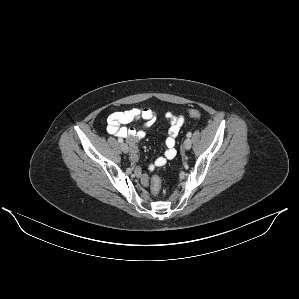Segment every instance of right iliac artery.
Returning a JSON list of instances; mask_svg holds the SVG:
<instances>
[{
	"mask_svg": "<svg viewBox=\"0 0 299 299\" xmlns=\"http://www.w3.org/2000/svg\"><path fill=\"white\" fill-rule=\"evenodd\" d=\"M118 142L122 143L123 139L122 138H118Z\"/></svg>",
	"mask_w": 299,
	"mask_h": 299,
	"instance_id": "obj_1",
	"label": "right iliac artery"
}]
</instances>
